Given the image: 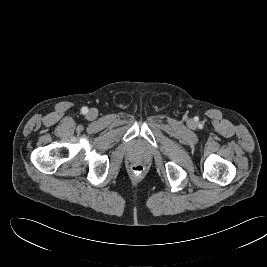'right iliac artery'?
Returning <instances> with one entry per match:
<instances>
[{
	"instance_id": "82829eb1",
	"label": "right iliac artery",
	"mask_w": 267,
	"mask_h": 267,
	"mask_svg": "<svg viewBox=\"0 0 267 267\" xmlns=\"http://www.w3.org/2000/svg\"><path fill=\"white\" fill-rule=\"evenodd\" d=\"M87 112H88V108L87 107H82L81 113L82 114H86Z\"/></svg>"
}]
</instances>
